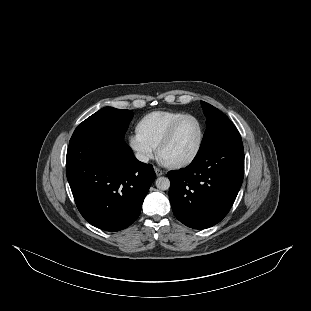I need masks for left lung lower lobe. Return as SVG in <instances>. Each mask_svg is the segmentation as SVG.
I'll return each mask as SVG.
<instances>
[{
	"label": "left lung lower lobe",
	"instance_id": "0a47b994",
	"mask_svg": "<svg viewBox=\"0 0 311 311\" xmlns=\"http://www.w3.org/2000/svg\"><path fill=\"white\" fill-rule=\"evenodd\" d=\"M243 176L241 139L228 141L196 156L186 168L168 173L174 215L194 229L217 224L232 207Z\"/></svg>",
	"mask_w": 311,
	"mask_h": 311
}]
</instances>
